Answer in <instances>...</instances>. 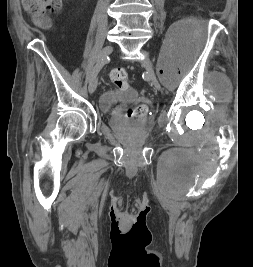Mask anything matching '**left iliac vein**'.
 Instances as JSON below:
<instances>
[{
	"instance_id": "obj_1",
	"label": "left iliac vein",
	"mask_w": 253,
	"mask_h": 267,
	"mask_svg": "<svg viewBox=\"0 0 253 267\" xmlns=\"http://www.w3.org/2000/svg\"><path fill=\"white\" fill-rule=\"evenodd\" d=\"M142 53L145 54V52H143V51H142ZM141 62L144 64L146 71L150 74L149 77L151 79V83L155 86V88L157 90H160L161 84L159 83V81L157 80L156 76L153 73V70H154L153 63L148 58H145Z\"/></svg>"
}]
</instances>
